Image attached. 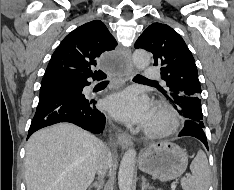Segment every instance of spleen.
<instances>
[{
  "instance_id": "3e777b00",
  "label": "spleen",
  "mask_w": 234,
  "mask_h": 190,
  "mask_svg": "<svg viewBox=\"0 0 234 190\" xmlns=\"http://www.w3.org/2000/svg\"><path fill=\"white\" fill-rule=\"evenodd\" d=\"M190 170L192 175L181 179L183 190H208L210 185V169L204 151L199 150L193 159Z\"/></svg>"
}]
</instances>
